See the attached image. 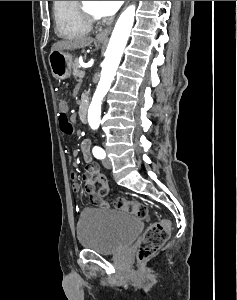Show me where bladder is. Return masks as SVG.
<instances>
[{
    "label": "bladder",
    "mask_w": 237,
    "mask_h": 300,
    "mask_svg": "<svg viewBox=\"0 0 237 300\" xmlns=\"http://www.w3.org/2000/svg\"><path fill=\"white\" fill-rule=\"evenodd\" d=\"M142 230L141 220L124 211L93 209L84 211L77 223L79 244L103 255L124 251Z\"/></svg>",
    "instance_id": "obj_1"
}]
</instances>
